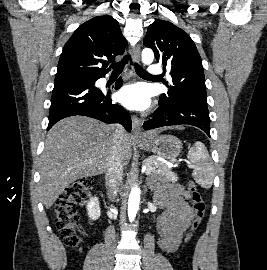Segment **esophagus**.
<instances>
[{
    "mask_svg": "<svg viewBox=\"0 0 267 270\" xmlns=\"http://www.w3.org/2000/svg\"><path fill=\"white\" fill-rule=\"evenodd\" d=\"M133 63H139L140 61V45H136L134 50H133V55H132ZM132 133L133 136L136 138H140L142 136L141 132V122L140 120L136 117H132Z\"/></svg>",
    "mask_w": 267,
    "mask_h": 270,
    "instance_id": "esophagus-1",
    "label": "esophagus"
}]
</instances>
